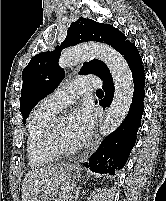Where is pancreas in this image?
I'll list each match as a JSON object with an SVG mask.
<instances>
[{
	"mask_svg": "<svg viewBox=\"0 0 166 201\" xmlns=\"http://www.w3.org/2000/svg\"><path fill=\"white\" fill-rule=\"evenodd\" d=\"M68 199H69V194H67L65 197L60 198L57 201H69Z\"/></svg>",
	"mask_w": 166,
	"mask_h": 201,
	"instance_id": "obj_1",
	"label": "pancreas"
}]
</instances>
